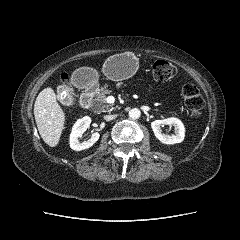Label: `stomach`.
Returning <instances> with one entry per match:
<instances>
[{
	"label": "stomach",
	"instance_id": "1",
	"mask_svg": "<svg viewBox=\"0 0 240 240\" xmlns=\"http://www.w3.org/2000/svg\"><path fill=\"white\" fill-rule=\"evenodd\" d=\"M137 69L138 59L136 56L130 52H123L108 58L102 71L108 79L122 81L133 76ZM76 72L85 74L88 80L94 77V71L89 68H80Z\"/></svg>",
	"mask_w": 240,
	"mask_h": 240
}]
</instances>
